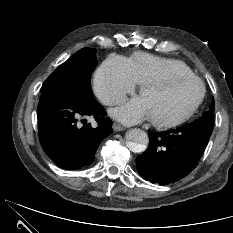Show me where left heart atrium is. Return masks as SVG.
I'll return each instance as SVG.
<instances>
[{
  "label": "left heart atrium",
  "instance_id": "1",
  "mask_svg": "<svg viewBox=\"0 0 233 233\" xmlns=\"http://www.w3.org/2000/svg\"><path fill=\"white\" fill-rule=\"evenodd\" d=\"M109 114L114 119L128 125L136 124L144 118H149L144 103L140 97L131 100L120 108L111 109Z\"/></svg>",
  "mask_w": 233,
  "mask_h": 233
}]
</instances>
